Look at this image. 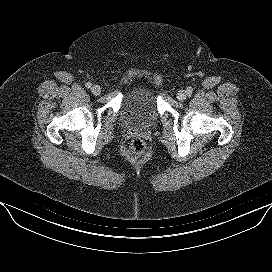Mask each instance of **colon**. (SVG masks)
<instances>
[{"instance_id":"obj_1","label":"colon","mask_w":272,"mask_h":272,"mask_svg":"<svg viewBox=\"0 0 272 272\" xmlns=\"http://www.w3.org/2000/svg\"><path fill=\"white\" fill-rule=\"evenodd\" d=\"M145 148V143L140 138H135L131 141L130 150L134 156H141L144 153Z\"/></svg>"}]
</instances>
